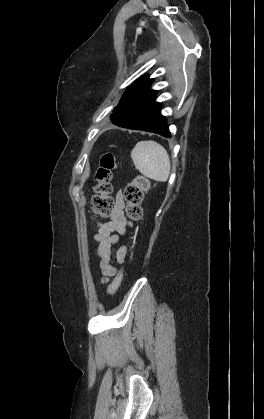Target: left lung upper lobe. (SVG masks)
Returning <instances> with one entry per match:
<instances>
[{"label": "left lung upper lobe", "mask_w": 264, "mask_h": 419, "mask_svg": "<svg viewBox=\"0 0 264 419\" xmlns=\"http://www.w3.org/2000/svg\"><path fill=\"white\" fill-rule=\"evenodd\" d=\"M153 79H148L147 76H143L140 79H137L130 87L126 89L123 94L119 105L115 108L114 113L110 118H117L119 115L123 114V111L131 101L138 98L143 92L151 86Z\"/></svg>", "instance_id": "obj_1"}]
</instances>
